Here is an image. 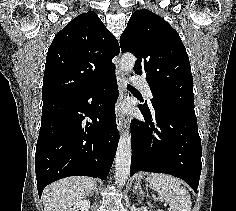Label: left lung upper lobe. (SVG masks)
Returning <instances> with one entry per match:
<instances>
[{
	"mask_svg": "<svg viewBox=\"0 0 236 211\" xmlns=\"http://www.w3.org/2000/svg\"><path fill=\"white\" fill-rule=\"evenodd\" d=\"M120 47L137 57L134 73L146 75L152 108L196 116L189 58L179 34L164 19L146 9L135 11Z\"/></svg>",
	"mask_w": 236,
	"mask_h": 211,
	"instance_id": "1",
	"label": "left lung upper lobe"
}]
</instances>
